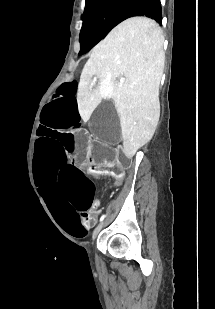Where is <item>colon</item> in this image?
Masks as SVG:
<instances>
[{
  "mask_svg": "<svg viewBox=\"0 0 215 309\" xmlns=\"http://www.w3.org/2000/svg\"><path fill=\"white\" fill-rule=\"evenodd\" d=\"M93 163L98 166V169L108 173L112 176L116 183L122 181L124 177V170L120 163L115 161H103L101 159L94 158Z\"/></svg>",
  "mask_w": 215,
  "mask_h": 309,
  "instance_id": "1",
  "label": "colon"
}]
</instances>
